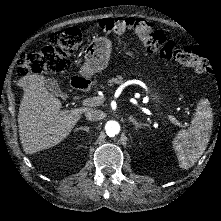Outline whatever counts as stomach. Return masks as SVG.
Listing matches in <instances>:
<instances>
[{
    "instance_id": "stomach-1",
    "label": "stomach",
    "mask_w": 221,
    "mask_h": 221,
    "mask_svg": "<svg viewBox=\"0 0 221 221\" xmlns=\"http://www.w3.org/2000/svg\"><path fill=\"white\" fill-rule=\"evenodd\" d=\"M110 55V45L107 40L98 38L90 43L85 51V67L90 75L106 68Z\"/></svg>"
}]
</instances>
